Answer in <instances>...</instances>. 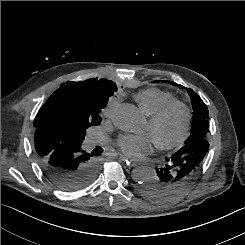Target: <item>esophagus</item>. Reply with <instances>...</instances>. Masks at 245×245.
<instances>
[{
  "mask_svg": "<svg viewBox=\"0 0 245 245\" xmlns=\"http://www.w3.org/2000/svg\"><path fill=\"white\" fill-rule=\"evenodd\" d=\"M119 160L125 163V166L128 168H132L134 166H136V164L134 162H132L130 159L124 157V156H120Z\"/></svg>",
  "mask_w": 245,
  "mask_h": 245,
  "instance_id": "1",
  "label": "esophagus"
}]
</instances>
